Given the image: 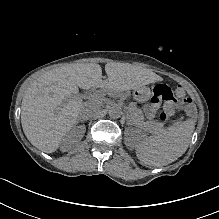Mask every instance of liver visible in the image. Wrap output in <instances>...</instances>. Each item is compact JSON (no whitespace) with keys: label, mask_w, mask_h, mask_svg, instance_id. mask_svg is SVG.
<instances>
[{"label":"liver","mask_w":219,"mask_h":219,"mask_svg":"<svg viewBox=\"0 0 219 219\" xmlns=\"http://www.w3.org/2000/svg\"><path fill=\"white\" fill-rule=\"evenodd\" d=\"M105 71L108 78L102 80L99 64H69L39 75L27 88L21 104V124L30 143L45 153H53L80 113L87 111L93 117L100 110L102 94L96 92L82 102L79 88L122 92L152 82L151 72L137 65L108 63ZM63 101L66 103L62 106Z\"/></svg>","instance_id":"6515ba94"}]
</instances>
